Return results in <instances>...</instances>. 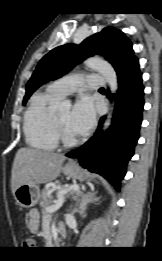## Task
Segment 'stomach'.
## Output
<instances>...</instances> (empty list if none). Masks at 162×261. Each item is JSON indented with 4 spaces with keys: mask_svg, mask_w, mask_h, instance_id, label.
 <instances>
[{
    "mask_svg": "<svg viewBox=\"0 0 162 261\" xmlns=\"http://www.w3.org/2000/svg\"><path fill=\"white\" fill-rule=\"evenodd\" d=\"M62 171L66 176L72 178H81L83 176L82 169L73 163L65 165ZM14 198L21 207L31 208L37 204L40 198V189L35 184H22L16 188Z\"/></svg>",
    "mask_w": 162,
    "mask_h": 261,
    "instance_id": "1",
    "label": "stomach"
}]
</instances>
